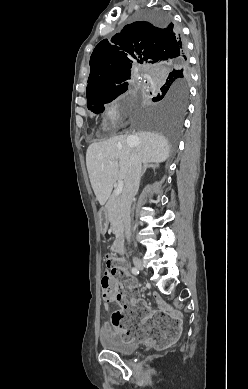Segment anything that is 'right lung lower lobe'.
<instances>
[{
  "instance_id": "obj_1",
  "label": "right lung lower lobe",
  "mask_w": 248,
  "mask_h": 389,
  "mask_svg": "<svg viewBox=\"0 0 248 389\" xmlns=\"http://www.w3.org/2000/svg\"><path fill=\"white\" fill-rule=\"evenodd\" d=\"M178 43H179V45H182V43L180 44V42L182 41V38H181V35H180V33H178ZM181 49V46H179V48H177L176 50H180Z\"/></svg>"
}]
</instances>
